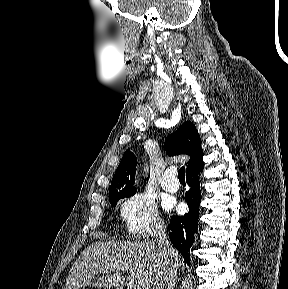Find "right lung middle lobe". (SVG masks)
<instances>
[{
  "label": "right lung middle lobe",
  "instance_id": "obj_1",
  "mask_svg": "<svg viewBox=\"0 0 288 289\" xmlns=\"http://www.w3.org/2000/svg\"><path fill=\"white\" fill-rule=\"evenodd\" d=\"M136 193V189H129L123 191H111L109 192V201L111 204L116 205V203L125 197L133 196Z\"/></svg>",
  "mask_w": 288,
  "mask_h": 289
}]
</instances>
